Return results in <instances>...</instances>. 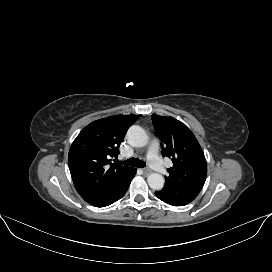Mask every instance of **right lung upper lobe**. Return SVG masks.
Instances as JSON below:
<instances>
[{
  "instance_id": "cb5924a9",
  "label": "right lung upper lobe",
  "mask_w": 272,
  "mask_h": 272,
  "mask_svg": "<svg viewBox=\"0 0 272 272\" xmlns=\"http://www.w3.org/2000/svg\"><path fill=\"white\" fill-rule=\"evenodd\" d=\"M140 115H116L87 125L72 143L68 165L74 186L90 202L120 182L134 168L112 163L127 129ZM115 160V159H114Z\"/></svg>"
}]
</instances>
